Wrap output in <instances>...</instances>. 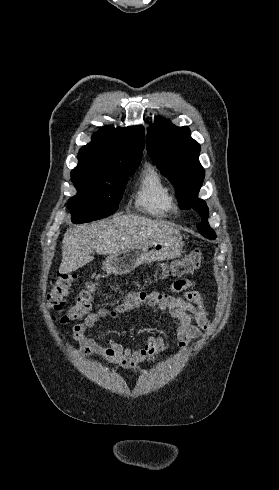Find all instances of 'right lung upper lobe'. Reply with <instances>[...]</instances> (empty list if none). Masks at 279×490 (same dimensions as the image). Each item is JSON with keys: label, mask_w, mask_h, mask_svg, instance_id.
I'll return each mask as SVG.
<instances>
[{"label": "right lung upper lobe", "mask_w": 279, "mask_h": 490, "mask_svg": "<svg viewBox=\"0 0 279 490\" xmlns=\"http://www.w3.org/2000/svg\"><path fill=\"white\" fill-rule=\"evenodd\" d=\"M145 145L142 126H105L92 136L78 154V165L71 174L105 176L126 167L139 166Z\"/></svg>", "instance_id": "right-lung-upper-lobe-1"}]
</instances>
